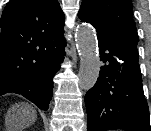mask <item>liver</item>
I'll list each match as a JSON object with an SVG mask.
<instances>
[{"instance_id": "6515ba94", "label": "liver", "mask_w": 151, "mask_h": 131, "mask_svg": "<svg viewBox=\"0 0 151 131\" xmlns=\"http://www.w3.org/2000/svg\"><path fill=\"white\" fill-rule=\"evenodd\" d=\"M37 118V115H36V112L34 110H32L31 112V116H30V119H28V124L32 121H35Z\"/></svg>"}]
</instances>
